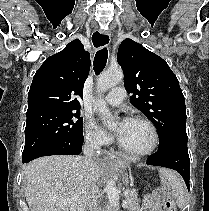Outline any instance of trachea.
Instances as JSON below:
<instances>
[{
	"label": "trachea",
	"instance_id": "obj_1",
	"mask_svg": "<svg viewBox=\"0 0 209 211\" xmlns=\"http://www.w3.org/2000/svg\"><path fill=\"white\" fill-rule=\"evenodd\" d=\"M107 58H108V50L106 47L97 51L93 62L94 71L96 74H99L105 68Z\"/></svg>",
	"mask_w": 209,
	"mask_h": 211
}]
</instances>
